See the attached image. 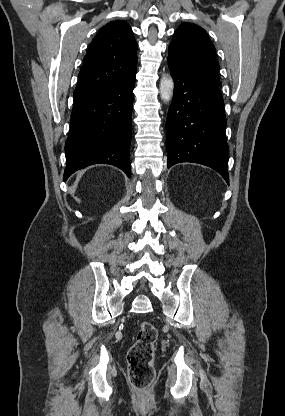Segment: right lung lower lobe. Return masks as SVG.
Returning <instances> with one entry per match:
<instances>
[{
  "label": "right lung lower lobe",
  "instance_id": "right-lung-lower-lobe-1",
  "mask_svg": "<svg viewBox=\"0 0 285 416\" xmlns=\"http://www.w3.org/2000/svg\"><path fill=\"white\" fill-rule=\"evenodd\" d=\"M135 75L116 86L74 101L65 143L64 181L92 164H110L130 177V142Z\"/></svg>",
  "mask_w": 285,
  "mask_h": 416
}]
</instances>
